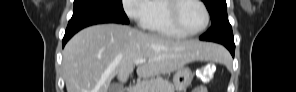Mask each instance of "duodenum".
<instances>
[{
  "instance_id": "duodenum-1",
  "label": "duodenum",
  "mask_w": 296,
  "mask_h": 92,
  "mask_svg": "<svg viewBox=\"0 0 296 92\" xmlns=\"http://www.w3.org/2000/svg\"><path fill=\"white\" fill-rule=\"evenodd\" d=\"M121 91H122V92H135L133 86H128V87L122 89Z\"/></svg>"
}]
</instances>
